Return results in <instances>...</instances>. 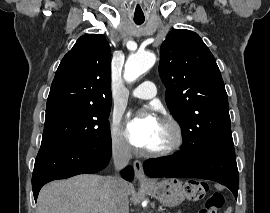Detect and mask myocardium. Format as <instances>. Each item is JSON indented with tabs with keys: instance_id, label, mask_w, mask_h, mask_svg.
Segmentation results:
<instances>
[{
	"instance_id": "obj_1",
	"label": "myocardium",
	"mask_w": 270,
	"mask_h": 213,
	"mask_svg": "<svg viewBox=\"0 0 270 213\" xmlns=\"http://www.w3.org/2000/svg\"><path fill=\"white\" fill-rule=\"evenodd\" d=\"M160 122L170 128L172 132V138L171 141L162 148L147 150L145 154L151 157H162L170 155L178 151L184 143V134L182 127L175 118L170 115H164L160 118Z\"/></svg>"
}]
</instances>
